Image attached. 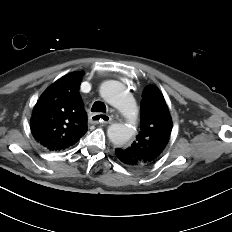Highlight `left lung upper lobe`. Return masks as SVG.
I'll list each match as a JSON object with an SVG mask.
<instances>
[{
  "label": "left lung upper lobe",
  "instance_id": "1",
  "mask_svg": "<svg viewBox=\"0 0 232 232\" xmlns=\"http://www.w3.org/2000/svg\"><path fill=\"white\" fill-rule=\"evenodd\" d=\"M172 131V119L165 99L156 86L144 89L141 102L140 131L123 152L140 168L155 163L163 154Z\"/></svg>",
  "mask_w": 232,
  "mask_h": 232
}]
</instances>
